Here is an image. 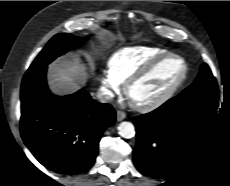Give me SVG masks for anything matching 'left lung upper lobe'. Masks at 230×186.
Returning <instances> with one entry per match:
<instances>
[{"mask_svg": "<svg viewBox=\"0 0 230 186\" xmlns=\"http://www.w3.org/2000/svg\"><path fill=\"white\" fill-rule=\"evenodd\" d=\"M202 91H218L217 82L206 63L201 65L195 82L179 95H190Z\"/></svg>", "mask_w": 230, "mask_h": 186, "instance_id": "1", "label": "left lung upper lobe"}]
</instances>
